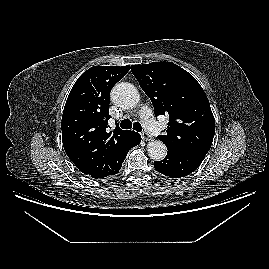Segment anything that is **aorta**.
Returning a JSON list of instances; mask_svg holds the SVG:
<instances>
[{"mask_svg":"<svg viewBox=\"0 0 269 269\" xmlns=\"http://www.w3.org/2000/svg\"><path fill=\"white\" fill-rule=\"evenodd\" d=\"M112 101L122 108H133L139 102V93L136 87L130 83H119L111 92ZM147 152L151 159L161 161L167 154L165 144L160 140L148 143Z\"/></svg>","mask_w":269,"mask_h":269,"instance_id":"obj_1","label":"aorta"}]
</instances>
